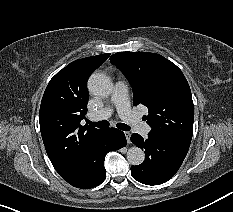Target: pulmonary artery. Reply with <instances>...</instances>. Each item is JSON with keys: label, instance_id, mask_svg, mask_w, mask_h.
Instances as JSON below:
<instances>
[{"label": "pulmonary artery", "instance_id": "1", "mask_svg": "<svg viewBox=\"0 0 233 212\" xmlns=\"http://www.w3.org/2000/svg\"><path fill=\"white\" fill-rule=\"evenodd\" d=\"M111 102L116 108L119 116L128 124L133 126L137 132L146 136L151 128L131 110L127 85L123 81H119L115 84ZM112 107H105L104 109L92 113L89 115V119L92 121L102 120L108 118L112 114Z\"/></svg>", "mask_w": 233, "mask_h": 212}]
</instances>
